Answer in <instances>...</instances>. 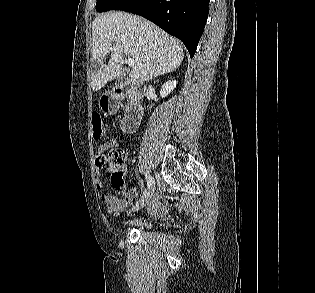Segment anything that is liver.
Instances as JSON below:
<instances>
[{"mask_svg": "<svg viewBox=\"0 0 315 293\" xmlns=\"http://www.w3.org/2000/svg\"><path fill=\"white\" fill-rule=\"evenodd\" d=\"M92 36V59L101 63V70L92 76L94 91L121 75L123 55L135 61L130 75L135 83L176 70L184 58L176 39L150 21L129 13L108 12L97 16ZM108 54L110 60L104 64Z\"/></svg>", "mask_w": 315, "mask_h": 293, "instance_id": "6515ba94", "label": "liver"}]
</instances>
